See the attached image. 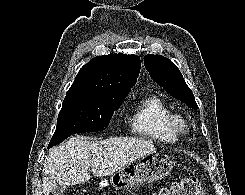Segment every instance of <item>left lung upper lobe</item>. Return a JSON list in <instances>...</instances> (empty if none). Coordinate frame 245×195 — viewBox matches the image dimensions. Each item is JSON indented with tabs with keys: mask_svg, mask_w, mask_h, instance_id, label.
Listing matches in <instances>:
<instances>
[{
	"mask_svg": "<svg viewBox=\"0 0 245 195\" xmlns=\"http://www.w3.org/2000/svg\"><path fill=\"white\" fill-rule=\"evenodd\" d=\"M144 64L151 78L171 96L184 102L190 108H198L191 89L173 62L161 55L148 54L144 57Z\"/></svg>",
	"mask_w": 245,
	"mask_h": 195,
	"instance_id": "left-lung-upper-lobe-1",
	"label": "left lung upper lobe"
}]
</instances>
